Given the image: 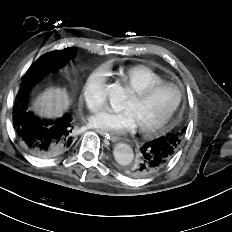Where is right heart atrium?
I'll return each instance as SVG.
<instances>
[{
  "mask_svg": "<svg viewBox=\"0 0 232 232\" xmlns=\"http://www.w3.org/2000/svg\"><path fill=\"white\" fill-rule=\"evenodd\" d=\"M106 79L107 71L104 67H100L90 73L83 86L82 98L93 111L100 109L105 104Z\"/></svg>",
  "mask_w": 232,
  "mask_h": 232,
  "instance_id": "d8ad5b80",
  "label": "right heart atrium"
}]
</instances>
